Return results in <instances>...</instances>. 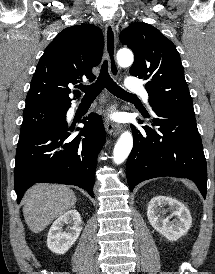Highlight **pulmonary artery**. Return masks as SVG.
Here are the masks:
<instances>
[{
	"label": "pulmonary artery",
	"mask_w": 215,
	"mask_h": 274,
	"mask_svg": "<svg viewBox=\"0 0 215 274\" xmlns=\"http://www.w3.org/2000/svg\"><path fill=\"white\" fill-rule=\"evenodd\" d=\"M126 88L127 90L131 92L141 93L145 102L148 103L149 95L147 91L144 89V87L142 86V84L137 79L129 78L126 82Z\"/></svg>",
	"instance_id": "e3ab8cb5"
}]
</instances>
